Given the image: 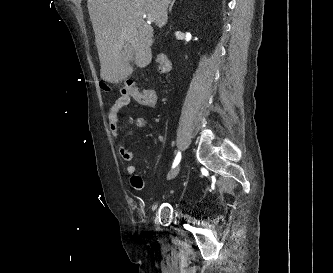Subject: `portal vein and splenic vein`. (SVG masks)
I'll return each instance as SVG.
<instances>
[{"label":"portal vein and splenic vein","mask_w":333,"mask_h":273,"mask_svg":"<svg viewBox=\"0 0 333 273\" xmlns=\"http://www.w3.org/2000/svg\"><path fill=\"white\" fill-rule=\"evenodd\" d=\"M144 18H146L148 22H153V18L149 15H144Z\"/></svg>","instance_id":"obj_1"}]
</instances>
